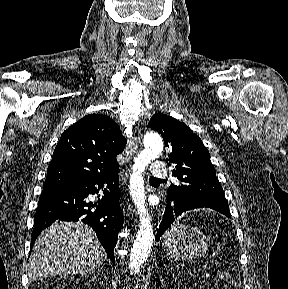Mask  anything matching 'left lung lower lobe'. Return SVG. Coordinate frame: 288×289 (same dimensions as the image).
Here are the masks:
<instances>
[{
  "label": "left lung lower lobe",
  "instance_id": "obj_1",
  "mask_svg": "<svg viewBox=\"0 0 288 289\" xmlns=\"http://www.w3.org/2000/svg\"><path fill=\"white\" fill-rule=\"evenodd\" d=\"M199 208L215 210L213 208H210L209 206L196 203V202H185L182 200H170L166 205L163 220L160 223L155 239L158 241L160 237L164 234V232L169 228V226L175 221V219H177V217L180 216L183 212L193 210V209H199ZM224 215L231 218L230 214H224Z\"/></svg>",
  "mask_w": 288,
  "mask_h": 289
}]
</instances>
